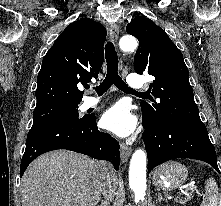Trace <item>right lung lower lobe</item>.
I'll list each match as a JSON object with an SVG mask.
<instances>
[{"label":"right lung lower lobe","mask_w":221,"mask_h":206,"mask_svg":"<svg viewBox=\"0 0 221 206\" xmlns=\"http://www.w3.org/2000/svg\"><path fill=\"white\" fill-rule=\"evenodd\" d=\"M57 149H67L110 161L119 169V143L109 134L100 132L96 117L86 116L80 120H59L33 125L20 165V176L39 155Z\"/></svg>","instance_id":"obj_1"}]
</instances>
